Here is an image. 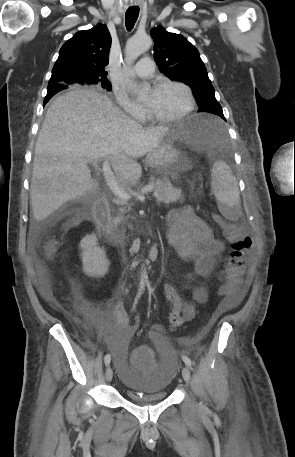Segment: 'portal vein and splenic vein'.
<instances>
[{
  "label": "portal vein and splenic vein",
  "mask_w": 295,
  "mask_h": 457,
  "mask_svg": "<svg viewBox=\"0 0 295 457\" xmlns=\"http://www.w3.org/2000/svg\"><path fill=\"white\" fill-rule=\"evenodd\" d=\"M102 171H103V175L106 179L107 185L109 186L111 191L121 199H125V200L129 199L130 198L129 194L118 184L108 160H105L103 162ZM153 189H154V185L150 184V185H147L146 187H144L141 190V193L144 194V193L152 191Z\"/></svg>",
  "instance_id": "1"
}]
</instances>
